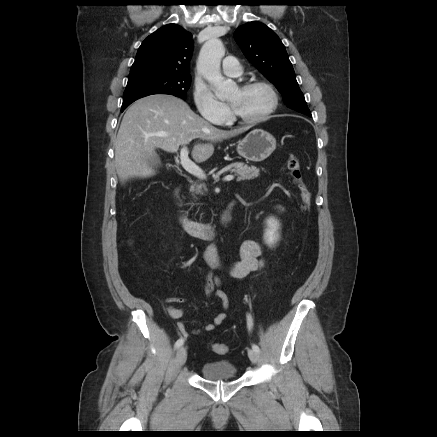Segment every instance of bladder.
<instances>
[{
    "mask_svg": "<svg viewBox=\"0 0 437 437\" xmlns=\"http://www.w3.org/2000/svg\"><path fill=\"white\" fill-rule=\"evenodd\" d=\"M201 374L208 380H226L237 376V368L228 361L206 362L201 367Z\"/></svg>",
    "mask_w": 437,
    "mask_h": 437,
    "instance_id": "obj_1",
    "label": "bladder"
}]
</instances>
